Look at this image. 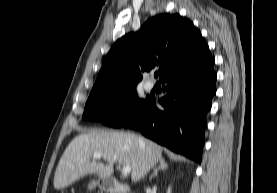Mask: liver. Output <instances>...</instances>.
<instances>
[{
	"instance_id": "1",
	"label": "liver",
	"mask_w": 277,
	"mask_h": 193,
	"mask_svg": "<svg viewBox=\"0 0 277 193\" xmlns=\"http://www.w3.org/2000/svg\"><path fill=\"white\" fill-rule=\"evenodd\" d=\"M94 153H101L106 164L91 161ZM161 159V146L142 136L90 130L75 137L64 151L55 171L54 188L61 190L88 174L109 178L116 162L129 166L131 179L137 182Z\"/></svg>"
}]
</instances>
